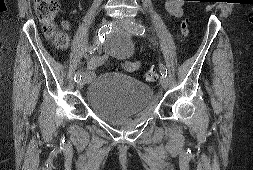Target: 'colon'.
<instances>
[{"label":"colon","mask_w":253,"mask_h":170,"mask_svg":"<svg viewBox=\"0 0 253 170\" xmlns=\"http://www.w3.org/2000/svg\"><path fill=\"white\" fill-rule=\"evenodd\" d=\"M33 3L36 15L43 25L44 34L54 41L58 49H64L67 46V37L63 32L56 30L54 26V20L60 7L58 0H33ZM189 32L188 20L184 19L180 26V34L185 38ZM145 77L147 81L155 82L158 80L159 74L155 70H149Z\"/></svg>","instance_id":"5ec220e1"}]
</instances>
